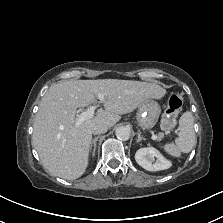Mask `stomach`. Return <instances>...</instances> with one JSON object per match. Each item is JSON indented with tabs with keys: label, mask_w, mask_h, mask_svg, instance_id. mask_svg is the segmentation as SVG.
Here are the masks:
<instances>
[{
	"label": "stomach",
	"mask_w": 223,
	"mask_h": 223,
	"mask_svg": "<svg viewBox=\"0 0 223 223\" xmlns=\"http://www.w3.org/2000/svg\"><path fill=\"white\" fill-rule=\"evenodd\" d=\"M161 109L159 104L153 100L148 99L144 101L138 108L137 121L142 129H151L158 121Z\"/></svg>",
	"instance_id": "obj_1"
}]
</instances>
